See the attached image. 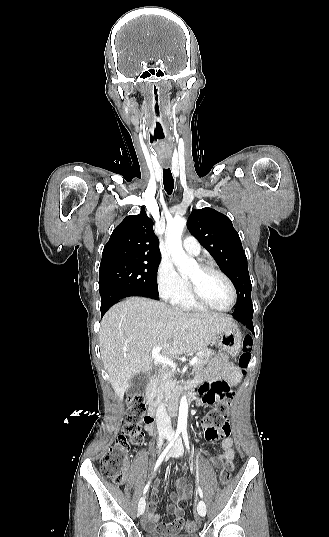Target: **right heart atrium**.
<instances>
[{"instance_id": "d8ad5b80", "label": "right heart atrium", "mask_w": 329, "mask_h": 537, "mask_svg": "<svg viewBox=\"0 0 329 537\" xmlns=\"http://www.w3.org/2000/svg\"><path fill=\"white\" fill-rule=\"evenodd\" d=\"M156 285L160 296L170 302H175L187 291L185 279L168 259H162L159 263L156 272Z\"/></svg>"}]
</instances>
